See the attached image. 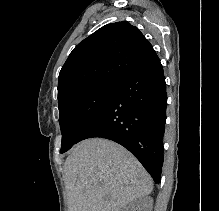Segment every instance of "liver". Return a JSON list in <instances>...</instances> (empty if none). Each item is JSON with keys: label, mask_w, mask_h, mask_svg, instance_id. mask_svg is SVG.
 <instances>
[{"label": "liver", "mask_w": 219, "mask_h": 211, "mask_svg": "<svg viewBox=\"0 0 219 211\" xmlns=\"http://www.w3.org/2000/svg\"><path fill=\"white\" fill-rule=\"evenodd\" d=\"M63 177L69 211H122L153 189V179L137 157L104 137L76 143Z\"/></svg>", "instance_id": "1"}]
</instances>
